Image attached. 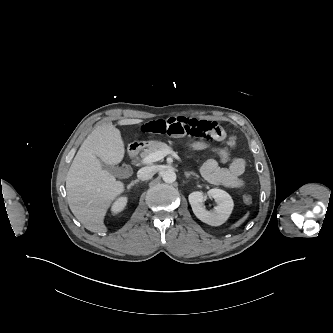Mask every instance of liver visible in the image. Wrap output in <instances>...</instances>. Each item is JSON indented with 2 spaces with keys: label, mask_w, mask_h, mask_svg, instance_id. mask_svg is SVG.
Returning <instances> with one entry per match:
<instances>
[{
  "label": "liver",
  "mask_w": 333,
  "mask_h": 333,
  "mask_svg": "<svg viewBox=\"0 0 333 333\" xmlns=\"http://www.w3.org/2000/svg\"><path fill=\"white\" fill-rule=\"evenodd\" d=\"M140 119H122L119 125L141 123ZM125 155L120 132L111 123L98 126L84 140L66 176L67 201L71 212L91 232L104 233L107 209L124 192V183L102 168L116 165Z\"/></svg>",
  "instance_id": "6515ba94"
}]
</instances>
